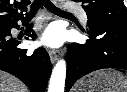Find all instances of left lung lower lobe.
Wrapping results in <instances>:
<instances>
[{
	"label": "left lung lower lobe",
	"instance_id": "1",
	"mask_svg": "<svg viewBox=\"0 0 127 92\" xmlns=\"http://www.w3.org/2000/svg\"><path fill=\"white\" fill-rule=\"evenodd\" d=\"M88 26L90 40L68 47L66 90L82 76L99 69L127 70V23L93 21Z\"/></svg>",
	"mask_w": 127,
	"mask_h": 92
}]
</instances>
